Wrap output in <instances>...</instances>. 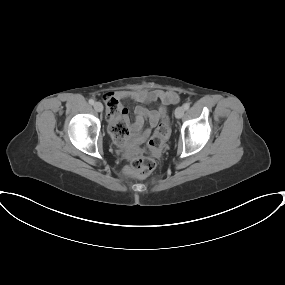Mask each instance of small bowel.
<instances>
[{
  "mask_svg": "<svg viewBox=\"0 0 285 285\" xmlns=\"http://www.w3.org/2000/svg\"><path fill=\"white\" fill-rule=\"evenodd\" d=\"M109 98L129 99L139 103L147 104L151 102H160V106L155 109H147L144 106H137L134 109V121L129 125L128 110L120 105V114L118 116L109 114L107 117L110 124L116 123L122 119L129 125V135L124 144L133 147L139 143L145 142L151 135L153 128L158 123L161 115L164 113L168 105L174 104L178 101V94L174 91L163 90H136V91H121L117 93H110L106 95V100ZM148 126L145 127V123Z\"/></svg>",
  "mask_w": 285,
  "mask_h": 285,
  "instance_id": "small-bowel-1",
  "label": "small bowel"
}]
</instances>
